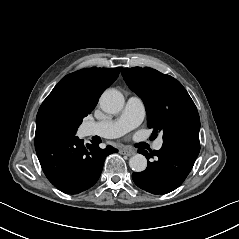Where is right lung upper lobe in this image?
<instances>
[{"label": "right lung upper lobe", "mask_w": 239, "mask_h": 239, "mask_svg": "<svg viewBox=\"0 0 239 239\" xmlns=\"http://www.w3.org/2000/svg\"><path fill=\"white\" fill-rule=\"evenodd\" d=\"M121 68H85L63 77L42 104L64 97L91 111L107 87L118 77Z\"/></svg>", "instance_id": "cb5924a9"}]
</instances>
